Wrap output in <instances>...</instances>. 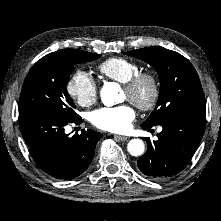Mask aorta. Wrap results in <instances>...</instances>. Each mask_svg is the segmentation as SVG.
<instances>
[{"instance_id": "aorta-1", "label": "aorta", "mask_w": 221, "mask_h": 221, "mask_svg": "<svg viewBox=\"0 0 221 221\" xmlns=\"http://www.w3.org/2000/svg\"><path fill=\"white\" fill-rule=\"evenodd\" d=\"M120 87L117 83L108 82L103 85L100 91V97L104 105L113 106L116 103V98ZM128 152L132 156H140L143 154L145 146L141 139H132L127 145Z\"/></svg>"}]
</instances>
